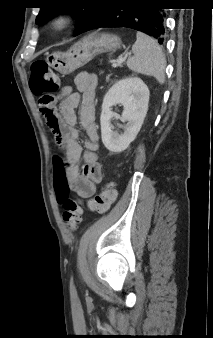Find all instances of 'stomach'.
Listing matches in <instances>:
<instances>
[{
  "instance_id": "0dacf381",
  "label": "stomach",
  "mask_w": 213,
  "mask_h": 338,
  "mask_svg": "<svg viewBox=\"0 0 213 338\" xmlns=\"http://www.w3.org/2000/svg\"><path fill=\"white\" fill-rule=\"evenodd\" d=\"M121 45V39L116 35L92 33L76 42L67 52L53 53L48 57V62L59 73L68 75L98 54L116 51Z\"/></svg>"
}]
</instances>
